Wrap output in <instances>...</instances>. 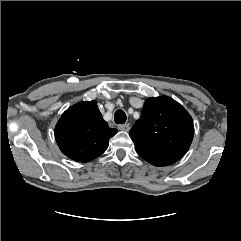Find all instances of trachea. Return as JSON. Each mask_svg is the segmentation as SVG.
I'll return each instance as SVG.
<instances>
[{
	"instance_id": "1",
	"label": "trachea",
	"mask_w": 241,
	"mask_h": 241,
	"mask_svg": "<svg viewBox=\"0 0 241 241\" xmlns=\"http://www.w3.org/2000/svg\"><path fill=\"white\" fill-rule=\"evenodd\" d=\"M126 114L123 110H117L114 114V120L116 124H124L126 122Z\"/></svg>"
}]
</instances>
